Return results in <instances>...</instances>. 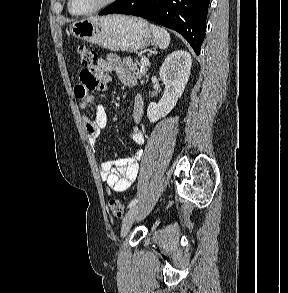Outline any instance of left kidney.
Listing matches in <instances>:
<instances>
[{"label": "left kidney", "mask_w": 288, "mask_h": 293, "mask_svg": "<svg viewBox=\"0 0 288 293\" xmlns=\"http://www.w3.org/2000/svg\"><path fill=\"white\" fill-rule=\"evenodd\" d=\"M191 66L192 59L186 51H174L165 59L159 71L165 89L160 101L158 103L151 102L147 108L150 122H156L175 107L188 82Z\"/></svg>", "instance_id": "obj_1"}]
</instances>
